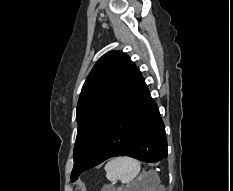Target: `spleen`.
Wrapping results in <instances>:
<instances>
[{
  "instance_id": "3e777b00",
  "label": "spleen",
  "mask_w": 233,
  "mask_h": 191,
  "mask_svg": "<svg viewBox=\"0 0 233 191\" xmlns=\"http://www.w3.org/2000/svg\"><path fill=\"white\" fill-rule=\"evenodd\" d=\"M140 163L130 157H118L109 161L105 166L106 177L110 181L120 180L122 183H130L140 172ZM149 175L154 176L150 172ZM159 179L158 177H156Z\"/></svg>"
}]
</instances>
